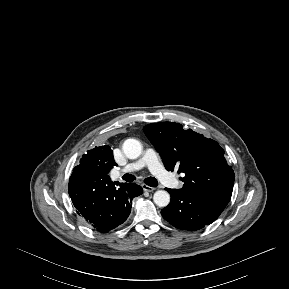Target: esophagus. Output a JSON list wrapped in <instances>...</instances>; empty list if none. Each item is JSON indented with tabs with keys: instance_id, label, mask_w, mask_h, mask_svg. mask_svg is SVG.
<instances>
[{
	"instance_id": "1",
	"label": "esophagus",
	"mask_w": 289,
	"mask_h": 289,
	"mask_svg": "<svg viewBox=\"0 0 289 289\" xmlns=\"http://www.w3.org/2000/svg\"><path fill=\"white\" fill-rule=\"evenodd\" d=\"M142 188H143L144 191H147V192H153L155 190V188L150 187V186H148L146 184H142Z\"/></svg>"
}]
</instances>
